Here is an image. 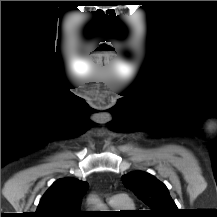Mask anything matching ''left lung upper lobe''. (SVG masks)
Listing matches in <instances>:
<instances>
[{
	"label": "left lung upper lobe",
	"mask_w": 217,
	"mask_h": 217,
	"mask_svg": "<svg viewBox=\"0 0 217 217\" xmlns=\"http://www.w3.org/2000/svg\"><path fill=\"white\" fill-rule=\"evenodd\" d=\"M122 182L150 207L151 217H176L178 208L167 187L151 174L130 172L122 177Z\"/></svg>",
	"instance_id": "1"
}]
</instances>
